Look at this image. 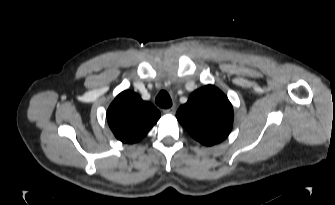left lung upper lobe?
<instances>
[{"instance_id": "5c2ea615", "label": "left lung upper lobe", "mask_w": 335, "mask_h": 205, "mask_svg": "<svg viewBox=\"0 0 335 205\" xmlns=\"http://www.w3.org/2000/svg\"><path fill=\"white\" fill-rule=\"evenodd\" d=\"M180 124L200 143L212 146L231 132L233 108L226 95L213 85L194 91L176 114Z\"/></svg>"}]
</instances>
